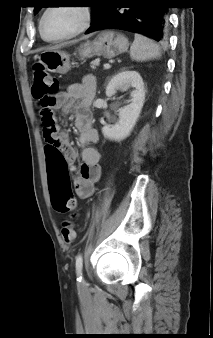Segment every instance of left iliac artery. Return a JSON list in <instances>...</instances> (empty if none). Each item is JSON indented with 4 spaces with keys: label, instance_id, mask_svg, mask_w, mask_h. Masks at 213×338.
I'll list each match as a JSON object with an SVG mask.
<instances>
[{
    "label": "left iliac artery",
    "instance_id": "1",
    "mask_svg": "<svg viewBox=\"0 0 213 338\" xmlns=\"http://www.w3.org/2000/svg\"><path fill=\"white\" fill-rule=\"evenodd\" d=\"M82 267H83V258L81 254H78L76 256V272L78 275V278H77L78 281H81L82 279Z\"/></svg>",
    "mask_w": 213,
    "mask_h": 338
}]
</instances>
